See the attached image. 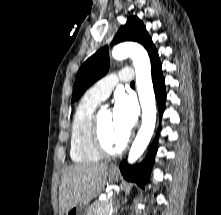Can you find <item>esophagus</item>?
<instances>
[{"label":"esophagus","mask_w":221,"mask_h":215,"mask_svg":"<svg viewBox=\"0 0 221 215\" xmlns=\"http://www.w3.org/2000/svg\"><path fill=\"white\" fill-rule=\"evenodd\" d=\"M116 168H117V166H116V165H113V166H112V169H116Z\"/></svg>","instance_id":"obj_1"}]
</instances>
